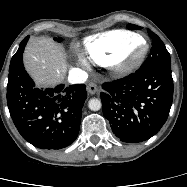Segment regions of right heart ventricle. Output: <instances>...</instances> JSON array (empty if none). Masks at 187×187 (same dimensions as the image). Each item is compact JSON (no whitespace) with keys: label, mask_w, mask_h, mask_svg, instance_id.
<instances>
[{"label":"right heart ventricle","mask_w":187,"mask_h":187,"mask_svg":"<svg viewBox=\"0 0 187 187\" xmlns=\"http://www.w3.org/2000/svg\"><path fill=\"white\" fill-rule=\"evenodd\" d=\"M143 38L127 30H111L86 38L83 46L87 55L97 64L111 65L125 50Z\"/></svg>","instance_id":"obj_1"}]
</instances>
